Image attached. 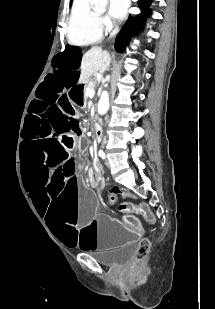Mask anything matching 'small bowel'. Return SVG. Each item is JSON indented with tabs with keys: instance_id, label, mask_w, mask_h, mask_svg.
<instances>
[{
	"instance_id": "1",
	"label": "small bowel",
	"mask_w": 215,
	"mask_h": 309,
	"mask_svg": "<svg viewBox=\"0 0 215 309\" xmlns=\"http://www.w3.org/2000/svg\"><path fill=\"white\" fill-rule=\"evenodd\" d=\"M145 218L149 222H153L154 221V216H153V214L151 212H149Z\"/></svg>"
}]
</instances>
